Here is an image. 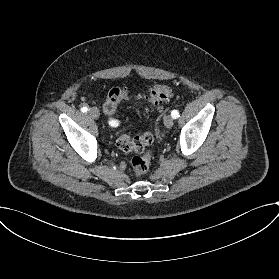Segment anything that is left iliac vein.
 Instances as JSON below:
<instances>
[{
  "label": "left iliac vein",
  "instance_id": "1",
  "mask_svg": "<svg viewBox=\"0 0 279 279\" xmlns=\"http://www.w3.org/2000/svg\"><path fill=\"white\" fill-rule=\"evenodd\" d=\"M165 125L168 129H171L174 125L173 119L171 117H166Z\"/></svg>",
  "mask_w": 279,
  "mask_h": 279
}]
</instances>
